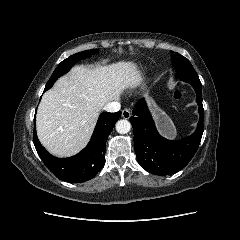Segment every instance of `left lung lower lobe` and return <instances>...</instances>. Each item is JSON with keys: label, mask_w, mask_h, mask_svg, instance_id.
<instances>
[{"label": "left lung lower lobe", "mask_w": 240, "mask_h": 240, "mask_svg": "<svg viewBox=\"0 0 240 240\" xmlns=\"http://www.w3.org/2000/svg\"><path fill=\"white\" fill-rule=\"evenodd\" d=\"M196 92L200 119L197 130L189 137L178 141L167 140L159 135L146 106L141 99L134 107L130 118L134 130V147L139 164L149 173L170 175L184 168L196 153L203 134L202 84L197 80H183Z\"/></svg>", "instance_id": "left-lung-lower-lobe-1"}]
</instances>
